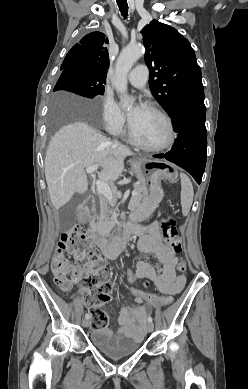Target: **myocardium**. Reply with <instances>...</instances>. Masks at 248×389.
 <instances>
[{"label":"myocardium","instance_id":"myocardium-1","mask_svg":"<svg viewBox=\"0 0 248 389\" xmlns=\"http://www.w3.org/2000/svg\"><path fill=\"white\" fill-rule=\"evenodd\" d=\"M145 108L158 114L165 121V123L167 125V129H168V136H167L166 140L159 145H147V144L142 143L135 136V134L132 130V127H131V123H129L128 136H129L130 141L134 145L139 147L140 149L147 151V152H161L163 150L168 149L169 147H171L174 144L175 138H176L175 127H174V124H173L171 117L163 109H161L159 106H157L153 103H147L145 105Z\"/></svg>","mask_w":248,"mask_h":389}]
</instances>
